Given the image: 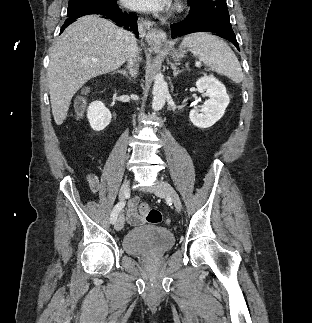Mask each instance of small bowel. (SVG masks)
Segmentation results:
<instances>
[{"mask_svg": "<svg viewBox=\"0 0 312 323\" xmlns=\"http://www.w3.org/2000/svg\"><path fill=\"white\" fill-rule=\"evenodd\" d=\"M86 181L93 193H97L99 191L100 182L97 175L88 174L86 176ZM138 203L139 201L137 198H132L128 203L126 210V219L128 224L131 226H140L144 224V217L137 211Z\"/></svg>", "mask_w": 312, "mask_h": 323, "instance_id": "1", "label": "small bowel"}]
</instances>
